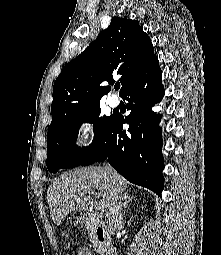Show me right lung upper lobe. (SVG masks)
Masks as SVG:
<instances>
[{"mask_svg":"<svg viewBox=\"0 0 221 255\" xmlns=\"http://www.w3.org/2000/svg\"><path fill=\"white\" fill-rule=\"evenodd\" d=\"M155 58L150 37L138 21L113 17L109 27L102 30L96 40L69 62L57 77L48 132L53 131L66 116L99 103L110 90L101 83H113L114 75H121L122 95Z\"/></svg>","mask_w":221,"mask_h":255,"instance_id":"obj_1","label":"right lung upper lobe"}]
</instances>
